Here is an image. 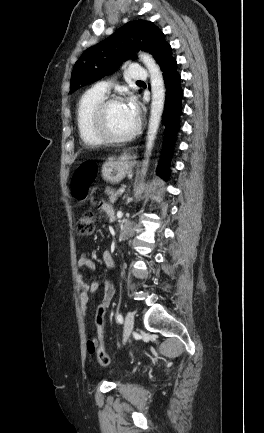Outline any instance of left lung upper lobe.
<instances>
[{
    "mask_svg": "<svg viewBox=\"0 0 264 433\" xmlns=\"http://www.w3.org/2000/svg\"><path fill=\"white\" fill-rule=\"evenodd\" d=\"M150 52L159 62L171 52L163 32L150 21L138 20L126 23L114 34L87 49L75 63L70 93L118 68L122 60L134 59L136 51Z\"/></svg>",
    "mask_w": 264,
    "mask_h": 433,
    "instance_id": "obj_1",
    "label": "left lung upper lobe"
}]
</instances>
